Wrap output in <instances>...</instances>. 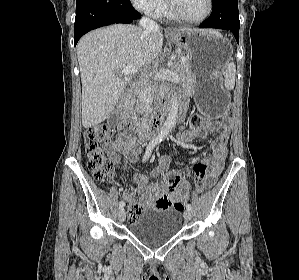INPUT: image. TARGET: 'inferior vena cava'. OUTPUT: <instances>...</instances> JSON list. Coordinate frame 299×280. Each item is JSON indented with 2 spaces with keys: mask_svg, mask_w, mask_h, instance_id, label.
<instances>
[{
  "mask_svg": "<svg viewBox=\"0 0 299 280\" xmlns=\"http://www.w3.org/2000/svg\"><path fill=\"white\" fill-rule=\"evenodd\" d=\"M139 24L140 27L147 33L158 28L157 23L147 17H142L139 21ZM133 87H134L135 95L138 98V104L143 112L141 128L142 131L145 133L148 130L147 118L149 116V113L152 111L150 107V99L148 97L147 89L144 84L141 85V82L136 81Z\"/></svg>",
  "mask_w": 299,
  "mask_h": 280,
  "instance_id": "inferior-vena-cava-1",
  "label": "inferior vena cava"
}]
</instances>
